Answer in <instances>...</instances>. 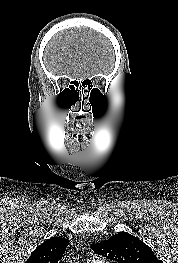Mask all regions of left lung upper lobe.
<instances>
[{"label": "left lung upper lobe", "instance_id": "obj_1", "mask_svg": "<svg viewBox=\"0 0 178 263\" xmlns=\"http://www.w3.org/2000/svg\"><path fill=\"white\" fill-rule=\"evenodd\" d=\"M91 249L117 263H163L152 249L133 235L120 232L107 241L91 244Z\"/></svg>", "mask_w": 178, "mask_h": 263}]
</instances>
